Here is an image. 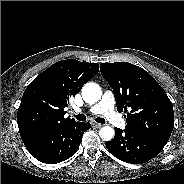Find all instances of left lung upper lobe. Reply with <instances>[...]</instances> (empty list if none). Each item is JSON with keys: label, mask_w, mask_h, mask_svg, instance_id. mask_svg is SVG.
I'll list each match as a JSON object with an SVG mask.
<instances>
[{"label": "left lung upper lobe", "mask_w": 184, "mask_h": 184, "mask_svg": "<svg viewBox=\"0 0 184 184\" xmlns=\"http://www.w3.org/2000/svg\"><path fill=\"white\" fill-rule=\"evenodd\" d=\"M100 71L113 89L117 110L127 113L126 127L164 147L174 126L173 105L164 89L128 62L102 63Z\"/></svg>", "instance_id": "1"}]
</instances>
